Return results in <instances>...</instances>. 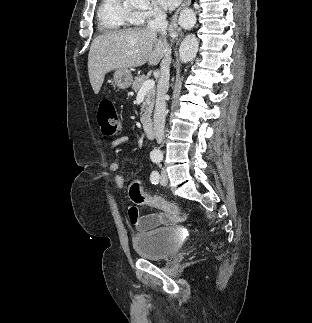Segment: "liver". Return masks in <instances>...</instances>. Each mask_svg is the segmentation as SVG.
Returning a JSON list of instances; mask_svg holds the SVG:
<instances>
[{
  "label": "liver",
  "mask_w": 312,
  "mask_h": 323,
  "mask_svg": "<svg viewBox=\"0 0 312 323\" xmlns=\"http://www.w3.org/2000/svg\"><path fill=\"white\" fill-rule=\"evenodd\" d=\"M162 56L157 32L149 26L97 36L88 56V74L94 94H99L105 74L111 70L137 68L146 62L149 66H157Z\"/></svg>",
  "instance_id": "obj_1"
}]
</instances>
